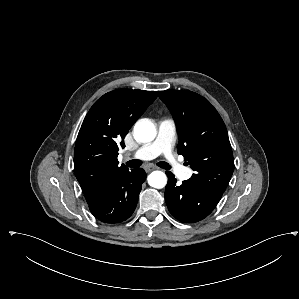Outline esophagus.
Returning a JSON list of instances; mask_svg holds the SVG:
<instances>
[{
	"instance_id": "obj_1",
	"label": "esophagus",
	"mask_w": 299,
	"mask_h": 299,
	"mask_svg": "<svg viewBox=\"0 0 299 299\" xmlns=\"http://www.w3.org/2000/svg\"><path fill=\"white\" fill-rule=\"evenodd\" d=\"M155 169H157V167H155V166H145V167H144V170H145L147 173H149V172H151L152 170H155Z\"/></svg>"
}]
</instances>
